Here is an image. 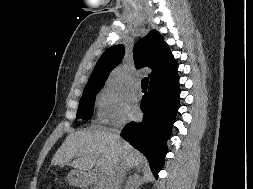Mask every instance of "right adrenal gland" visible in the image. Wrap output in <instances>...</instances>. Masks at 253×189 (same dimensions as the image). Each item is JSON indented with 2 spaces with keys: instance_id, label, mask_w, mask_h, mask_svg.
I'll return each instance as SVG.
<instances>
[{
  "instance_id": "right-adrenal-gland-1",
  "label": "right adrenal gland",
  "mask_w": 253,
  "mask_h": 189,
  "mask_svg": "<svg viewBox=\"0 0 253 189\" xmlns=\"http://www.w3.org/2000/svg\"><path fill=\"white\" fill-rule=\"evenodd\" d=\"M134 169H136V171H139V170H140V167L137 166V167L128 168V169H127V172H130L131 170H134ZM124 180H125V178H124ZM124 180H123V181H124Z\"/></svg>"
}]
</instances>
